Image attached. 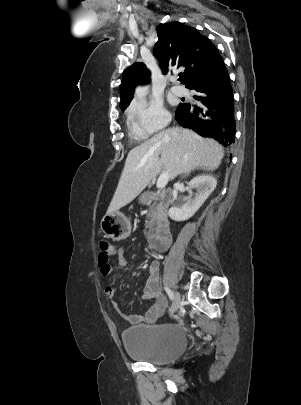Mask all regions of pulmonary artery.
<instances>
[{
    "label": "pulmonary artery",
    "instance_id": "1",
    "mask_svg": "<svg viewBox=\"0 0 301 405\" xmlns=\"http://www.w3.org/2000/svg\"><path fill=\"white\" fill-rule=\"evenodd\" d=\"M171 90L177 96H183L186 94V89L178 85L173 86Z\"/></svg>",
    "mask_w": 301,
    "mask_h": 405
}]
</instances>
